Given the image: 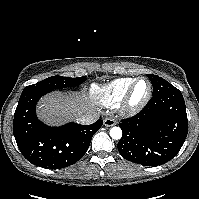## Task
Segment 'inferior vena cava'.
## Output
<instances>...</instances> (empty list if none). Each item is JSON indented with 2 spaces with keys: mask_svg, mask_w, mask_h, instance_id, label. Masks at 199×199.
I'll return each instance as SVG.
<instances>
[{
  "mask_svg": "<svg viewBox=\"0 0 199 199\" xmlns=\"http://www.w3.org/2000/svg\"><path fill=\"white\" fill-rule=\"evenodd\" d=\"M99 116H100L99 112L92 111L91 113L84 114L81 117H79L77 119V122L82 125H89L97 121L99 119Z\"/></svg>",
  "mask_w": 199,
  "mask_h": 199,
  "instance_id": "602c4592",
  "label": "inferior vena cava"
}]
</instances>
